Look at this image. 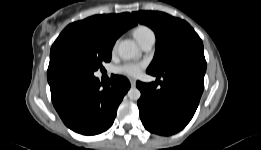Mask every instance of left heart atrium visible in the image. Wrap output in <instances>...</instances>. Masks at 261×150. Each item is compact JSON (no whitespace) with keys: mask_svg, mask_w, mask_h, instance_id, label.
<instances>
[{"mask_svg":"<svg viewBox=\"0 0 261 150\" xmlns=\"http://www.w3.org/2000/svg\"><path fill=\"white\" fill-rule=\"evenodd\" d=\"M145 67L144 62H126L117 68V71L121 74L136 77L142 69Z\"/></svg>","mask_w":261,"mask_h":150,"instance_id":"39dd6f15","label":"left heart atrium"}]
</instances>
